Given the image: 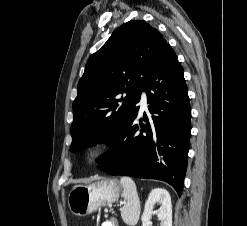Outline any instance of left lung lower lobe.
Instances as JSON below:
<instances>
[{"label":"left lung lower lobe","instance_id":"obj_1","mask_svg":"<svg viewBox=\"0 0 247 226\" xmlns=\"http://www.w3.org/2000/svg\"><path fill=\"white\" fill-rule=\"evenodd\" d=\"M142 91L150 104L149 119L144 113L146 124L142 120L137 123L136 106L111 148L100 157L98 168L111 175L165 181L180 196L187 168L191 108L183 68L168 43L150 70Z\"/></svg>","mask_w":247,"mask_h":226}]
</instances>
